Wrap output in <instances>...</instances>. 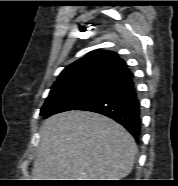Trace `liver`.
I'll return each instance as SVG.
<instances>
[{
  "mask_svg": "<svg viewBox=\"0 0 178 186\" xmlns=\"http://www.w3.org/2000/svg\"><path fill=\"white\" fill-rule=\"evenodd\" d=\"M137 145L103 115L69 111L43 121L33 180H120L132 171Z\"/></svg>",
  "mask_w": 178,
  "mask_h": 186,
  "instance_id": "obj_1",
  "label": "liver"
}]
</instances>
